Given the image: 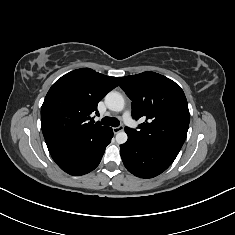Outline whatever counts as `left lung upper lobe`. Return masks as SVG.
Instances as JSON below:
<instances>
[{"instance_id": "5c2ea615", "label": "left lung upper lobe", "mask_w": 235, "mask_h": 235, "mask_svg": "<svg viewBox=\"0 0 235 235\" xmlns=\"http://www.w3.org/2000/svg\"><path fill=\"white\" fill-rule=\"evenodd\" d=\"M132 100V116L146 121L139 130L125 127L130 136L167 153L178 155L187 136L190 114L181 87L155 72L118 77Z\"/></svg>"}]
</instances>
